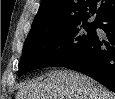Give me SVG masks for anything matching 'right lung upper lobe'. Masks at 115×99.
<instances>
[{"label": "right lung upper lobe", "instance_id": "cb5924a9", "mask_svg": "<svg viewBox=\"0 0 115 99\" xmlns=\"http://www.w3.org/2000/svg\"><path fill=\"white\" fill-rule=\"evenodd\" d=\"M114 12L115 0H41L28 37L87 23L95 13L94 23H100Z\"/></svg>", "mask_w": 115, "mask_h": 99}]
</instances>
